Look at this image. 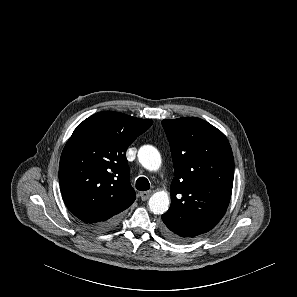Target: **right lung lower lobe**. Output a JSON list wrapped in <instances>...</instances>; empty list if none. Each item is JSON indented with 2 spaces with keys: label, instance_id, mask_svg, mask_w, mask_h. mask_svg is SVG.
I'll use <instances>...</instances> for the list:
<instances>
[{
  "label": "right lung lower lobe",
  "instance_id": "98d812e1",
  "mask_svg": "<svg viewBox=\"0 0 297 297\" xmlns=\"http://www.w3.org/2000/svg\"><path fill=\"white\" fill-rule=\"evenodd\" d=\"M120 218H121V214H118L105 222L89 225L88 227L98 232L108 231L118 225V223L120 222Z\"/></svg>",
  "mask_w": 297,
  "mask_h": 297
}]
</instances>
